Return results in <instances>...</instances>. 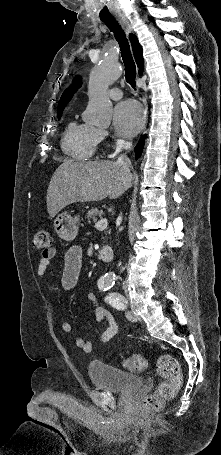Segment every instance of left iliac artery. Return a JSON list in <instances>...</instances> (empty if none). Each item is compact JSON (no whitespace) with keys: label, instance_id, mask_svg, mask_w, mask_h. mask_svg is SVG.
Masks as SVG:
<instances>
[{"label":"left iliac artery","instance_id":"44dca946","mask_svg":"<svg viewBox=\"0 0 221 455\" xmlns=\"http://www.w3.org/2000/svg\"><path fill=\"white\" fill-rule=\"evenodd\" d=\"M110 288H111V286L104 287V288L102 287V288H100V290L106 291ZM105 301L118 310H124L126 308V304H127V300L125 299V297L117 292L109 293V295L105 297Z\"/></svg>","mask_w":221,"mask_h":455}]
</instances>
